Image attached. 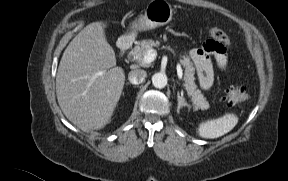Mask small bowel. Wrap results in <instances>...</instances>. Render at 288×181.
<instances>
[{"label": "small bowel", "instance_id": "1", "mask_svg": "<svg viewBox=\"0 0 288 181\" xmlns=\"http://www.w3.org/2000/svg\"><path fill=\"white\" fill-rule=\"evenodd\" d=\"M190 56L198 70L200 86L205 90L210 89L214 83V64L211 56L220 71H224L227 67L225 53L211 49L208 44L205 48L191 50Z\"/></svg>", "mask_w": 288, "mask_h": 181}]
</instances>
